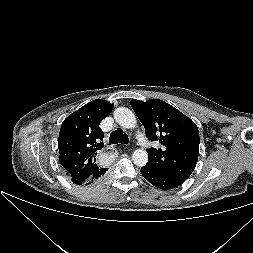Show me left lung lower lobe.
I'll return each instance as SVG.
<instances>
[{
  "label": "left lung lower lobe",
  "instance_id": "obj_1",
  "mask_svg": "<svg viewBox=\"0 0 253 253\" xmlns=\"http://www.w3.org/2000/svg\"><path fill=\"white\" fill-rule=\"evenodd\" d=\"M141 173L143 177L147 181H149L152 185L163 190L173 189L182 184L178 181H175L165 175H162L152 170L150 167L146 165L141 168Z\"/></svg>",
  "mask_w": 253,
  "mask_h": 253
}]
</instances>
